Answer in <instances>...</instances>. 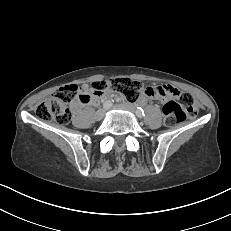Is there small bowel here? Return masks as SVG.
Segmentation results:
<instances>
[{"mask_svg": "<svg viewBox=\"0 0 231 231\" xmlns=\"http://www.w3.org/2000/svg\"><path fill=\"white\" fill-rule=\"evenodd\" d=\"M81 93L86 96L83 100H76L73 103V108L75 110L80 109L83 105H94L98 102L101 97L100 94H96L87 85L81 87ZM179 94L177 88L172 85H162L146 88V91L141 95L138 102L140 104H145L150 100L158 99L163 102L175 98Z\"/></svg>", "mask_w": 231, "mask_h": 231, "instance_id": "obj_1", "label": "small bowel"}]
</instances>
